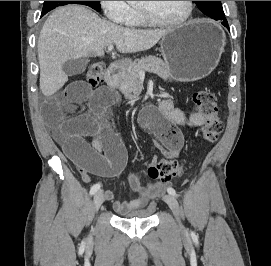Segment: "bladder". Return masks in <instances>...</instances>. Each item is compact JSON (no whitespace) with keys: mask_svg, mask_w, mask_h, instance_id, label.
<instances>
[{"mask_svg":"<svg viewBox=\"0 0 271 266\" xmlns=\"http://www.w3.org/2000/svg\"><path fill=\"white\" fill-rule=\"evenodd\" d=\"M152 212H153V208H150L147 210L137 211L130 214L118 215V217L123 218V219H147L152 216Z\"/></svg>","mask_w":271,"mask_h":266,"instance_id":"31cf9c89","label":"bladder"}]
</instances>
